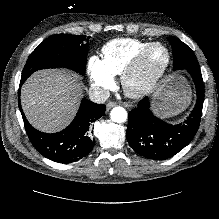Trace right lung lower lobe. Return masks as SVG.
Segmentation results:
<instances>
[{
    "mask_svg": "<svg viewBox=\"0 0 219 219\" xmlns=\"http://www.w3.org/2000/svg\"><path fill=\"white\" fill-rule=\"evenodd\" d=\"M22 84L21 80L20 86ZM19 108L33 146L43 156L60 163L79 160L92 150L94 142L88 137L87 131L92 122L105 114L104 104L84 99L75 119L67 128L58 133L47 134L34 129L27 121L20 103Z\"/></svg>",
    "mask_w": 219,
    "mask_h": 219,
    "instance_id": "98d812e1",
    "label": "right lung lower lobe"
}]
</instances>
